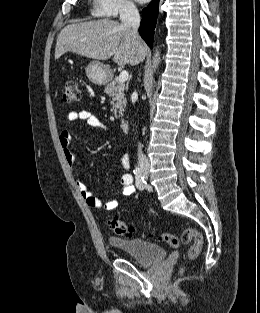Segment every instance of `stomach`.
Here are the masks:
<instances>
[{
    "label": "stomach",
    "instance_id": "obj_1",
    "mask_svg": "<svg viewBox=\"0 0 260 313\" xmlns=\"http://www.w3.org/2000/svg\"><path fill=\"white\" fill-rule=\"evenodd\" d=\"M85 70L88 79L94 84L102 85L109 78V69L101 62L92 61Z\"/></svg>",
    "mask_w": 260,
    "mask_h": 313
}]
</instances>
